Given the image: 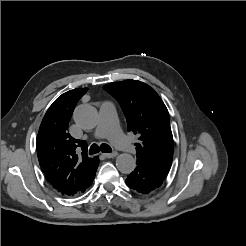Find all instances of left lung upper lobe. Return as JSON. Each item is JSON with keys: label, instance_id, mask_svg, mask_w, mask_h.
Returning a JSON list of instances; mask_svg holds the SVG:
<instances>
[{"label": "left lung upper lobe", "instance_id": "obj_1", "mask_svg": "<svg viewBox=\"0 0 246 246\" xmlns=\"http://www.w3.org/2000/svg\"><path fill=\"white\" fill-rule=\"evenodd\" d=\"M103 88L120 103L128 131L139 135L137 163L166 177L172 164L173 136L168 110L159 95L137 80L109 83Z\"/></svg>", "mask_w": 246, "mask_h": 246}]
</instances>
